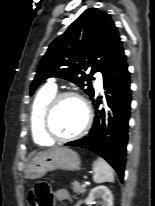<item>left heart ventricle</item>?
Here are the masks:
<instances>
[{
	"label": "left heart ventricle",
	"mask_w": 155,
	"mask_h": 206,
	"mask_svg": "<svg viewBox=\"0 0 155 206\" xmlns=\"http://www.w3.org/2000/svg\"><path fill=\"white\" fill-rule=\"evenodd\" d=\"M85 121V111L82 104L75 98H64L55 107L50 125L53 132L66 137L78 132Z\"/></svg>",
	"instance_id": "b2bd125f"
}]
</instances>
